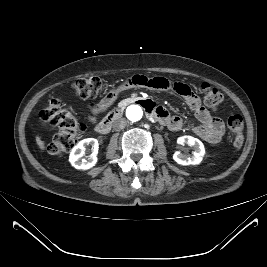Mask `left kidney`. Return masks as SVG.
I'll return each mask as SVG.
<instances>
[{
  "instance_id": "left-kidney-1",
  "label": "left kidney",
  "mask_w": 267,
  "mask_h": 267,
  "mask_svg": "<svg viewBox=\"0 0 267 267\" xmlns=\"http://www.w3.org/2000/svg\"><path fill=\"white\" fill-rule=\"evenodd\" d=\"M178 144L184 145L188 144L189 146H192L194 148L193 156H186L182 154L180 151H176L173 154V159L175 162H177L180 165H196L199 164L204 155H205V148L203 143L192 136H182L179 137L177 140Z\"/></svg>"
}]
</instances>
